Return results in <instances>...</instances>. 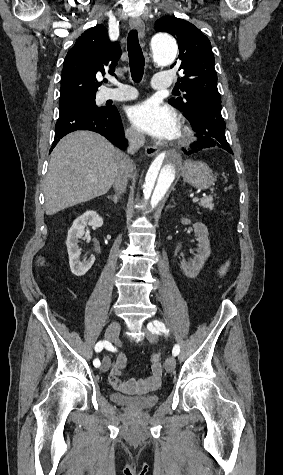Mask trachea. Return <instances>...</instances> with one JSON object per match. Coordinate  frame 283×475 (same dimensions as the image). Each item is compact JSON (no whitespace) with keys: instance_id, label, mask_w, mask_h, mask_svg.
Listing matches in <instances>:
<instances>
[{"instance_id":"3493384b","label":"trachea","mask_w":283,"mask_h":475,"mask_svg":"<svg viewBox=\"0 0 283 475\" xmlns=\"http://www.w3.org/2000/svg\"><path fill=\"white\" fill-rule=\"evenodd\" d=\"M129 66L132 80L139 83L144 74L145 58L139 45L137 31L131 30L127 38Z\"/></svg>"}]
</instances>
